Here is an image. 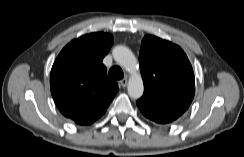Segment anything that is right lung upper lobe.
<instances>
[{"label": "right lung upper lobe", "instance_id": "1", "mask_svg": "<svg viewBox=\"0 0 244 157\" xmlns=\"http://www.w3.org/2000/svg\"><path fill=\"white\" fill-rule=\"evenodd\" d=\"M113 44L109 33H91L72 40L52 66L50 88L60 112L79 125H90L107 110L118 92L102 64Z\"/></svg>", "mask_w": 244, "mask_h": 157}]
</instances>
